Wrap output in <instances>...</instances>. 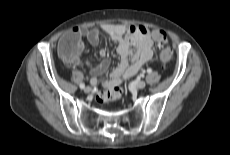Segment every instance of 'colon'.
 <instances>
[{
	"instance_id": "5ec220e1",
	"label": "colon",
	"mask_w": 230,
	"mask_h": 155,
	"mask_svg": "<svg viewBox=\"0 0 230 155\" xmlns=\"http://www.w3.org/2000/svg\"><path fill=\"white\" fill-rule=\"evenodd\" d=\"M153 37L155 42L161 49L160 60L163 64L167 63L172 56V50L166 46L167 37L166 33L161 30H156L153 32ZM79 45V38L74 34H69L64 37L59 45V53L66 60H73L76 50ZM122 96V90L119 86H114L106 91H99L96 94V101L98 103H107L112 101H117Z\"/></svg>"
}]
</instances>
